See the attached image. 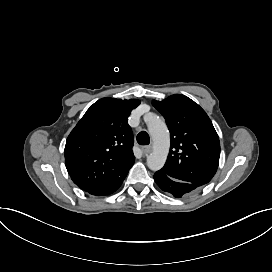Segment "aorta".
I'll return each mask as SVG.
<instances>
[{"label": "aorta", "mask_w": 272, "mask_h": 272, "mask_svg": "<svg viewBox=\"0 0 272 272\" xmlns=\"http://www.w3.org/2000/svg\"><path fill=\"white\" fill-rule=\"evenodd\" d=\"M146 124L149 136L153 141V151L147 156V166L152 171L160 170L167 159L170 146V136L167 125L163 119L154 113H148Z\"/></svg>", "instance_id": "762f6f07"}]
</instances>
